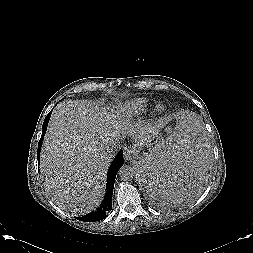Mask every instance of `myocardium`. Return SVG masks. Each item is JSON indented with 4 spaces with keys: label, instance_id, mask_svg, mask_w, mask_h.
I'll use <instances>...</instances> for the list:
<instances>
[{
    "label": "myocardium",
    "instance_id": "1",
    "mask_svg": "<svg viewBox=\"0 0 253 253\" xmlns=\"http://www.w3.org/2000/svg\"><path fill=\"white\" fill-rule=\"evenodd\" d=\"M154 110L156 112H161L163 110V104L160 102L156 103Z\"/></svg>",
    "mask_w": 253,
    "mask_h": 253
}]
</instances>
